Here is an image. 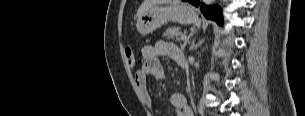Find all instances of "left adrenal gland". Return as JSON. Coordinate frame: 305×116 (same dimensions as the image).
<instances>
[{
  "instance_id": "a2214340",
  "label": "left adrenal gland",
  "mask_w": 305,
  "mask_h": 116,
  "mask_svg": "<svg viewBox=\"0 0 305 116\" xmlns=\"http://www.w3.org/2000/svg\"><path fill=\"white\" fill-rule=\"evenodd\" d=\"M200 43L201 42H199L198 44H195V40H193L192 42H189V44H190L189 50L191 51V50L196 49L200 45ZM185 45H186V43H185Z\"/></svg>"
}]
</instances>
